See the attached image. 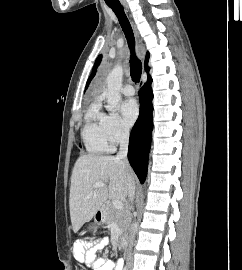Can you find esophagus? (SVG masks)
<instances>
[{"label":"esophagus","instance_id":"34e87169","mask_svg":"<svg viewBox=\"0 0 242 270\" xmlns=\"http://www.w3.org/2000/svg\"><path fill=\"white\" fill-rule=\"evenodd\" d=\"M142 86H143V82H140L138 88H141Z\"/></svg>","mask_w":242,"mask_h":270}]
</instances>
